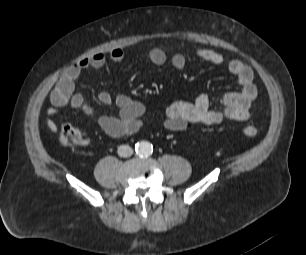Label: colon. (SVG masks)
Segmentation results:
<instances>
[{
  "mask_svg": "<svg viewBox=\"0 0 306 255\" xmlns=\"http://www.w3.org/2000/svg\"><path fill=\"white\" fill-rule=\"evenodd\" d=\"M243 133L245 136L253 138L257 135L258 130L253 125H246L243 128ZM59 140L64 147H72L83 143L81 132L70 124H64L61 127Z\"/></svg>",
  "mask_w": 306,
  "mask_h": 255,
  "instance_id": "obj_1",
  "label": "colon"
}]
</instances>
